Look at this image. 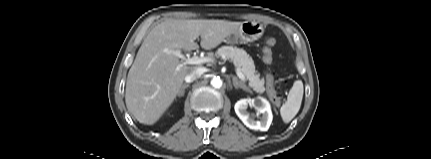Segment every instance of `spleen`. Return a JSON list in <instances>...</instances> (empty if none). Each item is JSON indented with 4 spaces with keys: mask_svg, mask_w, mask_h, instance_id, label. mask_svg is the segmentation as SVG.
Listing matches in <instances>:
<instances>
[{
    "mask_svg": "<svg viewBox=\"0 0 431 159\" xmlns=\"http://www.w3.org/2000/svg\"><path fill=\"white\" fill-rule=\"evenodd\" d=\"M304 87L301 80L294 82L287 101L280 108V115L285 123H289L299 112L303 98Z\"/></svg>",
    "mask_w": 431,
    "mask_h": 159,
    "instance_id": "1",
    "label": "spleen"
}]
</instances>
